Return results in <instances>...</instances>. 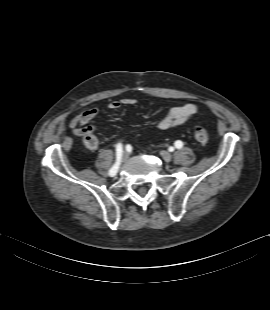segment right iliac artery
<instances>
[{
  "label": "right iliac artery",
  "instance_id": "1",
  "mask_svg": "<svg viewBox=\"0 0 270 310\" xmlns=\"http://www.w3.org/2000/svg\"><path fill=\"white\" fill-rule=\"evenodd\" d=\"M122 152H123L122 144H121V143H118L117 146H116L117 162H116V163L114 164V166L109 170V175H110L111 177L115 176L116 173H117V171H118V167H119V164H120Z\"/></svg>",
  "mask_w": 270,
  "mask_h": 310
}]
</instances>
